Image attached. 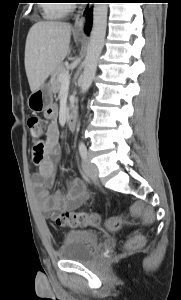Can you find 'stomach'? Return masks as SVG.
Wrapping results in <instances>:
<instances>
[{"label": "stomach", "mask_w": 181, "mask_h": 300, "mask_svg": "<svg viewBox=\"0 0 181 300\" xmlns=\"http://www.w3.org/2000/svg\"><path fill=\"white\" fill-rule=\"evenodd\" d=\"M51 83L43 84L38 90L32 92L28 98V106L34 112L44 111L53 101Z\"/></svg>", "instance_id": "1"}]
</instances>
